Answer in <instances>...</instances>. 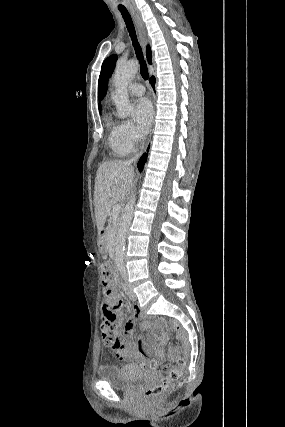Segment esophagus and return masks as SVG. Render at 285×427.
Segmentation results:
<instances>
[{
  "label": "esophagus",
  "mask_w": 285,
  "mask_h": 427,
  "mask_svg": "<svg viewBox=\"0 0 285 427\" xmlns=\"http://www.w3.org/2000/svg\"><path fill=\"white\" fill-rule=\"evenodd\" d=\"M129 10L133 16V19H134V22H135V25L137 28L138 37H139V41H140V44H141L142 49H143V53L146 54V47L148 44V38H147L144 23L141 20L139 14L136 12V10L133 7H129Z\"/></svg>",
  "instance_id": "34e87169"
}]
</instances>
